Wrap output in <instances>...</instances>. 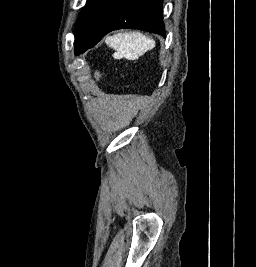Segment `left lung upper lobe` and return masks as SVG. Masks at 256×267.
Masks as SVG:
<instances>
[{
    "instance_id": "obj_1",
    "label": "left lung upper lobe",
    "mask_w": 256,
    "mask_h": 267,
    "mask_svg": "<svg viewBox=\"0 0 256 267\" xmlns=\"http://www.w3.org/2000/svg\"><path fill=\"white\" fill-rule=\"evenodd\" d=\"M162 19V0H88L76 25L75 55L116 29H141L164 36Z\"/></svg>"
}]
</instances>
